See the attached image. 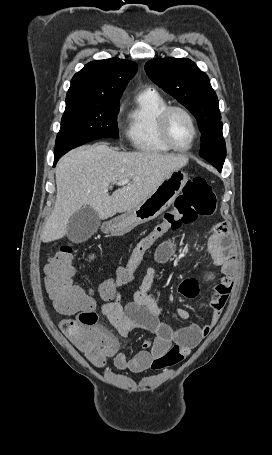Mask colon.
Returning <instances> with one entry per match:
<instances>
[{"mask_svg":"<svg viewBox=\"0 0 272 455\" xmlns=\"http://www.w3.org/2000/svg\"><path fill=\"white\" fill-rule=\"evenodd\" d=\"M215 209L216 197L207 180L203 177L188 180L173 208L166 211L161 221L136 243L126 262L117 267L114 276L100 285V297L110 300L118 288L132 284L147 250L168 231L177 230L198 216L212 215ZM73 258V249L68 245L55 252L45 266V288L55 309L67 316L61 322L63 333L92 364L100 367L116 348V341L96 326L92 295L74 284Z\"/></svg>","mask_w":272,"mask_h":455,"instance_id":"1","label":"colon"}]
</instances>
